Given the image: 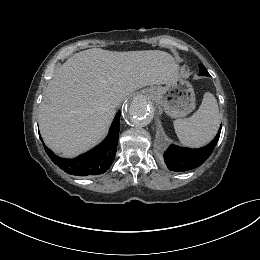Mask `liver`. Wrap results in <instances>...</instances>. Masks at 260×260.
Here are the masks:
<instances>
[{"label":"liver","mask_w":260,"mask_h":260,"mask_svg":"<svg viewBox=\"0 0 260 260\" xmlns=\"http://www.w3.org/2000/svg\"><path fill=\"white\" fill-rule=\"evenodd\" d=\"M178 76L179 66L164 51L92 48L78 52L48 83L40 107V133L56 154L74 157L105 135L119 100Z\"/></svg>","instance_id":"1"}]
</instances>
